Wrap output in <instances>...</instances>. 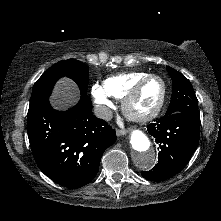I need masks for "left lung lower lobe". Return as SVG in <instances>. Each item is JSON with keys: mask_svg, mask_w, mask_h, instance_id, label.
Segmentation results:
<instances>
[{"mask_svg": "<svg viewBox=\"0 0 221 221\" xmlns=\"http://www.w3.org/2000/svg\"><path fill=\"white\" fill-rule=\"evenodd\" d=\"M147 130L155 138L160 151L155 167L141 174L152 181L167 180L184 168L196 150L200 138V121L179 112L164 116L149 125Z\"/></svg>", "mask_w": 221, "mask_h": 221, "instance_id": "obj_1", "label": "left lung lower lobe"}]
</instances>
